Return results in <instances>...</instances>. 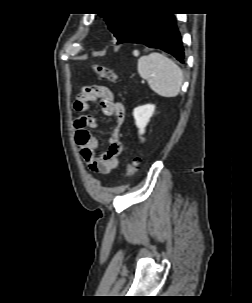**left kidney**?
Instances as JSON below:
<instances>
[{
	"mask_svg": "<svg viewBox=\"0 0 252 303\" xmlns=\"http://www.w3.org/2000/svg\"><path fill=\"white\" fill-rule=\"evenodd\" d=\"M154 110L155 106L151 104L142 105L134 109L133 116L135 119V124L139 129L140 135L144 134L145 127L147 126L150 118L152 117Z\"/></svg>",
	"mask_w": 252,
	"mask_h": 303,
	"instance_id": "5707ae66",
	"label": "left kidney"
}]
</instances>
